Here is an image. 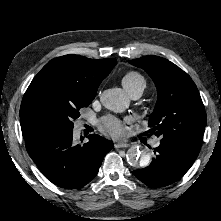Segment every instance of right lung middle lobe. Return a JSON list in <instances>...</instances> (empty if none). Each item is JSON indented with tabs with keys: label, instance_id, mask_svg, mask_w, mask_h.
<instances>
[{
	"label": "right lung middle lobe",
	"instance_id": "dd1d6c3e",
	"mask_svg": "<svg viewBox=\"0 0 221 221\" xmlns=\"http://www.w3.org/2000/svg\"><path fill=\"white\" fill-rule=\"evenodd\" d=\"M93 99L65 95L37 87L27 97L31 111L48 121L55 129L73 130L74 121L80 116V109L89 106Z\"/></svg>",
	"mask_w": 221,
	"mask_h": 221
}]
</instances>
